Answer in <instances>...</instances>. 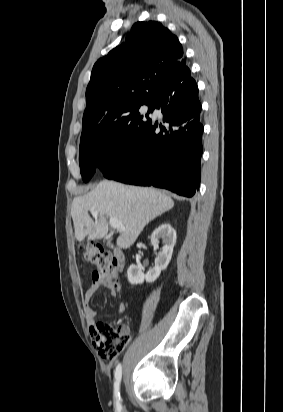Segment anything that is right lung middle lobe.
<instances>
[{
  "label": "right lung middle lobe",
  "mask_w": 283,
  "mask_h": 412,
  "mask_svg": "<svg viewBox=\"0 0 283 412\" xmlns=\"http://www.w3.org/2000/svg\"><path fill=\"white\" fill-rule=\"evenodd\" d=\"M148 112H143V106ZM155 103H145L128 110L116 124L107 131L90 135L80 140L79 163L84 182H88L96 168L111 163L128 153L133 143L144 132L151 121Z\"/></svg>",
  "instance_id": "dd1d6c3e"
}]
</instances>
